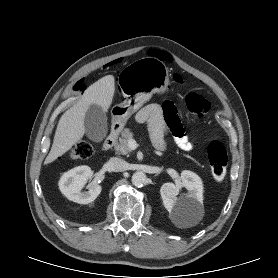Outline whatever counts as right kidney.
<instances>
[{
    "mask_svg": "<svg viewBox=\"0 0 278 278\" xmlns=\"http://www.w3.org/2000/svg\"><path fill=\"white\" fill-rule=\"evenodd\" d=\"M90 177V167H75L62 175L58 183L59 189L70 201L79 204L91 203L101 193L102 187L95 185L89 188L88 191H81Z\"/></svg>",
    "mask_w": 278,
    "mask_h": 278,
    "instance_id": "ca27d5eb",
    "label": "right kidney"
}]
</instances>
